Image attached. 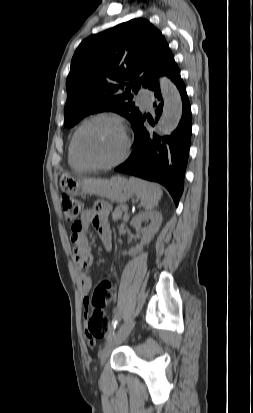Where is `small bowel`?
<instances>
[{
  "mask_svg": "<svg viewBox=\"0 0 253 413\" xmlns=\"http://www.w3.org/2000/svg\"><path fill=\"white\" fill-rule=\"evenodd\" d=\"M108 213L109 206L106 203L98 202L93 208L84 210L78 222L72 225L73 256L80 274L83 303L86 311L89 308V295L93 289V281L86 273L93 262V255L86 233L92 225L97 230L104 248L109 251L112 247V234L108 223Z\"/></svg>",
  "mask_w": 253,
  "mask_h": 413,
  "instance_id": "c3829d8e",
  "label": "small bowel"
}]
</instances>
